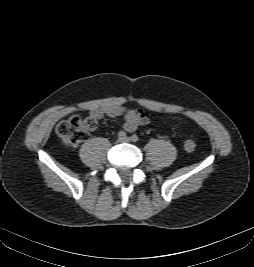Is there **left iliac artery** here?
<instances>
[{
  "label": "left iliac artery",
  "mask_w": 254,
  "mask_h": 267,
  "mask_svg": "<svg viewBox=\"0 0 254 267\" xmlns=\"http://www.w3.org/2000/svg\"><path fill=\"white\" fill-rule=\"evenodd\" d=\"M131 140L133 141V142H137L138 140H139V138H138V136L137 135H132L131 136Z\"/></svg>",
  "instance_id": "obj_1"
}]
</instances>
